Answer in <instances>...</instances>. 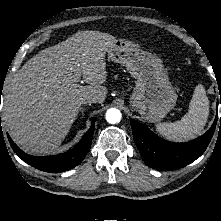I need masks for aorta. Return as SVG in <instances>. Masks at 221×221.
Instances as JSON below:
<instances>
[{"instance_id":"aorta-1","label":"aorta","mask_w":221,"mask_h":221,"mask_svg":"<svg viewBox=\"0 0 221 221\" xmlns=\"http://www.w3.org/2000/svg\"><path fill=\"white\" fill-rule=\"evenodd\" d=\"M106 120L110 124H116L121 120V112L116 108H110L106 111Z\"/></svg>"}]
</instances>
